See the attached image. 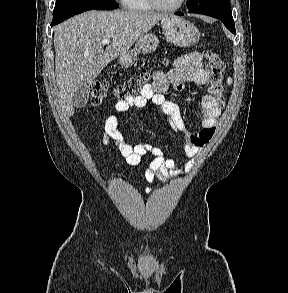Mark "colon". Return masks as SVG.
Returning <instances> with one entry per match:
<instances>
[{
    "instance_id": "5ec220e1",
    "label": "colon",
    "mask_w": 288,
    "mask_h": 293,
    "mask_svg": "<svg viewBox=\"0 0 288 293\" xmlns=\"http://www.w3.org/2000/svg\"><path fill=\"white\" fill-rule=\"evenodd\" d=\"M207 72L209 76V91L220 103H223V76L225 65L219 55L212 50L206 52ZM150 72H144L132 76L113 89V96L117 101L126 100L140 93L148 85ZM109 91V84L104 80L95 81L91 86V102L95 105L100 104Z\"/></svg>"
}]
</instances>
